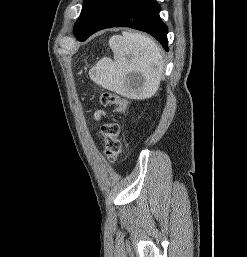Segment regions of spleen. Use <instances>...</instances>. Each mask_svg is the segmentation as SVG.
I'll return each mask as SVG.
<instances>
[{
    "mask_svg": "<svg viewBox=\"0 0 247 257\" xmlns=\"http://www.w3.org/2000/svg\"><path fill=\"white\" fill-rule=\"evenodd\" d=\"M109 46L114 53V61L101 59L89 71L90 78L105 89L132 99L153 96L160 85L164 61L158 45L150 37L123 32L110 38ZM139 73L142 83L132 89L128 76Z\"/></svg>",
    "mask_w": 247,
    "mask_h": 257,
    "instance_id": "3e777b00",
    "label": "spleen"
}]
</instances>
